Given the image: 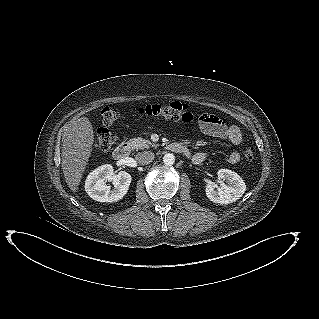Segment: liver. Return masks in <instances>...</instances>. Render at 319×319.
<instances>
[{
	"label": "liver",
	"mask_w": 319,
	"mask_h": 319,
	"mask_svg": "<svg viewBox=\"0 0 319 319\" xmlns=\"http://www.w3.org/2000/svg\"><path fill=\"white\" fill-rule=\"evenodd\" d=\"M62 140L64 177L69 188L76 192L92 152L94 131L91 122L86 117L72 121L67 125Z\"/></svg>",
	"instance_id": "6515ba94"
}]
</instances>
